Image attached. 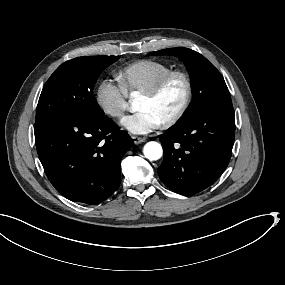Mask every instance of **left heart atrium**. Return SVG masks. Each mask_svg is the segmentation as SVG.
Returning <instances> with one entry per match:
<instances>
[{
	"label": "left heart atrium",
	"instance_id": "39dd6f15",
	"mask_svg": "<svg viewBox=\"0 0 285 285\" xmlns=\"http://www.w3.org/2000/svg\"><path fill=\"white\" fill-rule=\"evenodd\" d=\"M159 120L156 115L143 103H137L130 116L121 121V125L136 134H146L157 127Z\"/></svg>",
	"mask_w": 285,
	"mask_h": 285
}]
</instances>
